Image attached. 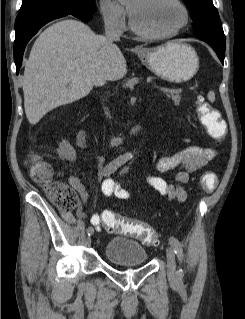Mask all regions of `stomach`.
Returning a JSON list of instances; mask_svg holds the SVG:
<instances>
[{"label": "stomach", "mask_w": 245, "mask_h": 319, "mask_svg": "<svg viewBox=\"0 0 245 319\" xmlns=\"http://www.w3.org/2000/svg\"><path fill=\"white\" fill-rule=\"evenodd\" d=\"M138 56L156 75L175 83L190 80L199 68V58L194 48L177 41L145 49Z\"/></svg>", "instance_id": "stomach-1"}]
</instances>
